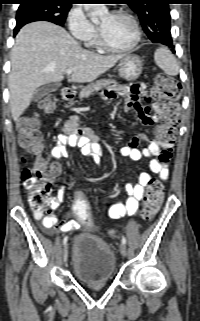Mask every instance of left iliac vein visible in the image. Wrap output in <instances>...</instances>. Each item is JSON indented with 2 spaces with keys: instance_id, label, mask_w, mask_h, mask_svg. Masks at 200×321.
<instances>
[{
  "instance_id": "1",
  "label": "left iliac vein",
  "mask_w": 200,
  "mask_h": 321,
  "mask_svg": "<svg viewBox=\"0 0 200 321\" xmlns=\"http://www.w3.org/2000/svg\"><path fill=\"white\" fill-rule=\"evenodd\" d=\"M120 252L123 256L126 255L127 249H126V245L123 243L120 245Z\"/></svg>"
}]
</instances>
